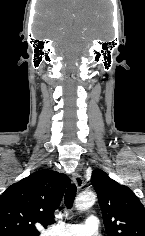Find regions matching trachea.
<instances>
[{
    "mask_svg": "<svg viewBox=\"0 0 145 236\" xmlns=\"http://www.w3.org/2000/svg\"><path fill=\"white\" fill-rule=\"evenodd\" d=\"M76 186L74 184H71L67 190H66V193H65V206L70 209L72 208L73 206V202H74V199H75V196H76Z\"/></svg>",
    "mask_w": 145,
    "mask_h": 236,
    "instance_id": "obj_1",
    "label": "trachea"
}]
</instances>
